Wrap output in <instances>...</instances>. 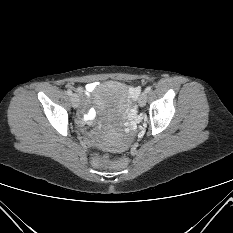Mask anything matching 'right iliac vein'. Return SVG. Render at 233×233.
<instances>
[{"instance_id": "63e3f726", "label": "right iliac vein", "mask_w": 233, "mask_h": 233, "mask_svg": "<svg viewBox=\"0 0 233 233\" xmlns=\"http://www.w3.org/2000/svg\"><path fill=\"white\" fill-rule=\"evenodd\" d=\"M71 104L74 108H77L80 104V99L77 94L71 95Z\"/></svg>"}]
</instances>
